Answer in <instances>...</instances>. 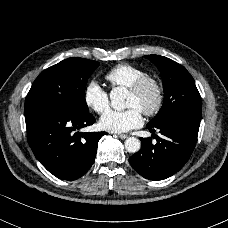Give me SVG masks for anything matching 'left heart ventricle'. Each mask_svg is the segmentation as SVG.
<instances>
[{
	"instance_id": "1",
	"label": "left heart ventricle",
	"mask_w": 228,
	"mask_h": 228,
	"mask_svg": "<svg viewBox=\"0 0 228 228\" xmlns=\"http://www.w3.org/2000/svg\"><path fill=\"white\" fill-rule=\"evenodd\" d=\"M156 99V91L153 86H148L146 90L140 95H134L128 93L127 106L128 107H137L141 109L143 107L150 106Z\"/></svg>"
}]
</instances>
